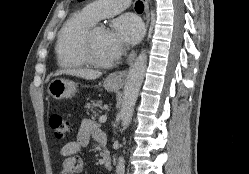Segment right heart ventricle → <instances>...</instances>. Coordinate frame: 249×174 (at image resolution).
Here are the masks:
<instances>
[{
  "instance_id": "obj_1",
  "label": "right heart ventricle",
  "mask_w": 249,
  "mask_h": 174,
  "mask_svg": "<svg viewBox=\"0 0 249 174\" xmlns=\"http://www.w3.org/2000/svg\"><path fill=\"white\" fill-rule=\"evenodd\" d=\"M95 23L84 10L73 14L60 31L56 55L59 64L65 68H78L86 65L82 46L86 33Z\"/></svg>"
}]
</instances>
